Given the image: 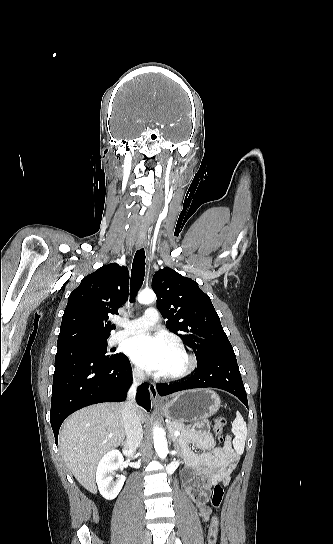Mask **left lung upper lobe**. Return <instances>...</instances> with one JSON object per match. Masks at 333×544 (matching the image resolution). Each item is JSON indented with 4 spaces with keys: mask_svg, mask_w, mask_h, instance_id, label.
<instances>
[{
    "mask_svg": "<svg viewBox=\"0 0 333 544\" xmlns=\"http://www.w3.org/2000/svg\"><path fill=\"white\" fill-rule=\"evenodd\" d=\"M152 287L157 308L168 321L166 327L190 346L202 362L211 356H235L207 294L191 278L165 267L155 273Z\"/></svg>",
    "mask_w": 333,
    "mask_h": 544,
    "instance_id": "left-lung-upper-lobe-1",
    "label": "left lung upper lobe"
}]
</instances>
